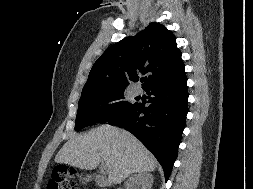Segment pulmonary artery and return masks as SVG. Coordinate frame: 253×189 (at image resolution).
<instances>
[{"mask_svg": "<svg viewBox=\"0 0 253 189\" xmlns=\"http://www.w3.org/2000/svg\"><path fill=\"white\" fill-rule=\"evenodd\" d=\"M135 95H140L142 93V89L140 86H136L133 90Z\"/></svg>", "mask_w": 253, "mask_h": 189, "instance_id": "e3ab8cb5", "label": "pulmonary artery"}]
</instances>
